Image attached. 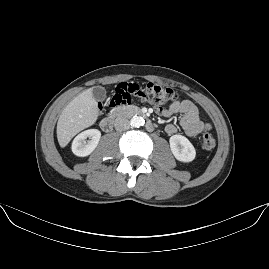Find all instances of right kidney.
Instances as JSON below:
<instances>
[{"label":"right kidney","mask_w":269,"mask_h":269,"mask_svg":"<svg viewBox=\"0 0 269 269\" xmlns=\"http://www.w3.org/2000/svg\"><path fill=\"white\" fill-rule=\"evenodd\" d=\"M100 131L97 129H88L77 135L72 143V151L78 156H86L96 147ZM87 138L89 140H87Z\"/></svg>","instance_id":"obj_1"}]
</instances>
